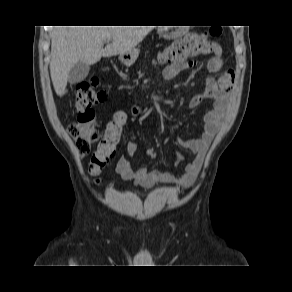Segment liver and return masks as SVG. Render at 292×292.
Returning a JSON list of instances; mask_svg holds the SVG:
<instances>
[{
    "label": "liver",
    "mask_w": 292,
    "mask_h": 292,
    "mask_svg": "<svg viewBox=\"0 0 292 292\" xmlns=\"http://www.w3.org/2000/svg\"><path fill=\"white\" fill-rule=\"evenodd\" d=\"M151 26H56L51 36L50 75L58 96L66 93L68 74L78 62L93 65L102 57L135 48ZM112 40L105 48L106 41Z\"/></svg>",
    "instance_id": "obj_1"
}]
</instances>
